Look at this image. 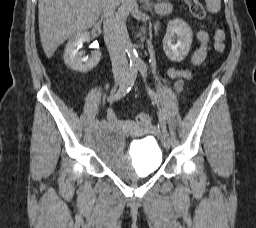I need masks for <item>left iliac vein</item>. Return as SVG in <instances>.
I'll list each match as a JSON object with an SVG mask.
<instances>
[{
    "label": "left iliac vein",
    "mask_w": 256,
    "mask_h": 228,
    "mask_svg": "<svg viewBox=\"0 0 256 228\" xmlns=\"http://www.w3.org/2000/svg\"><path fill=\"white\" fill-rule=\"evenodd\" d=\"M161 141H162V144H163V146L165 148H167V149L170 148V146H171V139H170L168 134H164L163 133V135L161 137Z\"/></svg>",
    "instance_id": "left-iliac-vein-1"
}]
</instances>
